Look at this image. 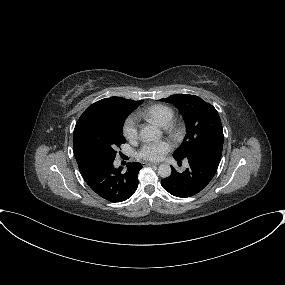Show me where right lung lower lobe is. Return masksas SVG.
Here are the masks:
<instances>
[{
  "instance_id": "1",
  "label": "right lung lower lobe",
  "mask_w": 285,
  "mask_h": 285,
  "mask_svg": "<svg viewBox=\"0 0 285 285\" xmlns=\"http://www.w3.org/2000/svg\"><path fill=\"white\" fill-rule=\"evenodd\" d=\"M85 182L100 197L110 202H121L130 198L138 187L140 163H128L127 171L116 169L113 161H89L78 163Z\"/></svg>"
}]
</instances>
